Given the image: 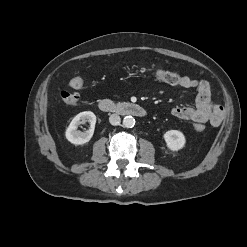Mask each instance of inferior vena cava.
Wrapping results in <instances>:
<instances>
[{
	"label": "inferior vena cava",
	"mask_w": 247,
	"mask_h": 247,
	"mask_svg": "<svg viewBox=\"0 0 247 247\" xmlns=\"http://www.w3.org/2000/svg\"><path fill=\"white\" fill-rule=\"evenodd\" d=\"M120 121H121V119H120V116L118 114H112L109 117V122L111 125H114V126L119 125Z\"/></svg>",
	"instance_id": "inferior-vena-cava-1"
}]
</instances>
